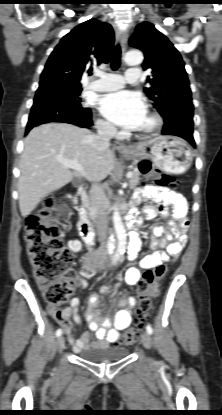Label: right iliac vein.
<instances>
[{
	"label": "right iliac vein",
	"instance_id": "1",
	"mask_svg": "<svg viewBox=\"0 0 222 415\" xmlns=\"http://www.w3.org/2000/svg\"><path fill=\"white\" fill-rule=\"evenodd\" d=\"M57 344H58L59 350L62 351L65 347V339L63 336H59L57 340Z\"/></svg>",
	"mask_w": 222,
	"mask_h": 415
}]
</instances>
